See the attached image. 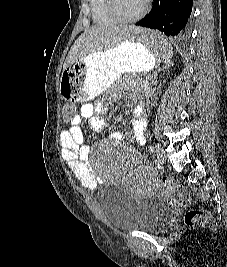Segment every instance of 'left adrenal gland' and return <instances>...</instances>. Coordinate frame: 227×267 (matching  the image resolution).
Masks as SVG:
<instances>
[{"instance_id": "1", "label": "left adrenal gland", "mask_w": 227, "mask_h": 267, "mask_svg": "<svg viewBox=\"0 0 227 267\" xmlns=\"http://www.w3.org/2000/svg\"><path fill=\"white\" fill-rule=\"evenodd\" d=\"M170 65H173V63H170V64H169V62H168V63H166V65L163 66L162 68L159 67L157 70H155V71L153 72V76H152V82H151V84L156 83V79H157V75H158V73H159L160 71H163V70L166 69V68H169Z\"/></svg>"}]
</instances>
